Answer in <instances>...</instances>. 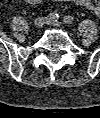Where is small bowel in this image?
<instances>
[{"instance_id":"1","label":"small bowel","mask_w":100,"mask_h":118,"mask_svg":"<svg viewBox=\"0 0 100 118\" xmlns=\"http://www.w3.org/2000/svg\"><path fill=\"white\" fill-rule=\"evenodd\" d=\"M25 2L29 3V4H38L40 3L42 0H24ZM57 2H72L75 3L76 5L85 7L86 9L92 11L93 13H95L96 15H100V5L98 2H100V0L97 1H93V0H54Z\"/></svg>"}]
</instances>
